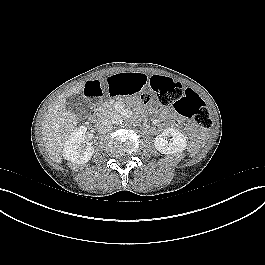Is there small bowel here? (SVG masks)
<instances>
[{
	"mask_svg": "<svg viewBox=\"0 0 265 265\" xmlns=\"http://www.w3.org/2000/svg\"><path fill=\"white\" fill-rule=\"evenodd\" d=\"M147 78L143 72L130 71L127 75L117 74L103 80L91 79L85 83L84 89L88 95L95 96L106 91L111 95H123L136 93L140 87L146 84ZM158 113L166 119H173L175 114L163 108H158Z\"/></svg>",
	"mask_w": 265,
	"mask_h": 265,
	"instance_id": "1",
	"label": "small bowel"
}]
</instances>
